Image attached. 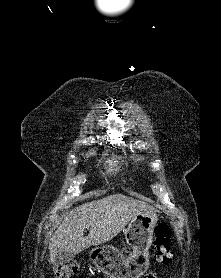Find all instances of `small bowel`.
<instances>
[{
  "mask_svg": "<svg viewBox=\"0 0 221 278\" xmlns=\"http://www.w3.org/2000/svg\"><path fill=\"white\" fill-rule=\"evenodd\" d=\"M145 278H156V277L153 274H149Z\"/></svg>",
  "mask_w": 221,
  "mask_h": 278,
  "instance_id": "c3829d8e",
  "label": "small bowel"
}]
</instances>
